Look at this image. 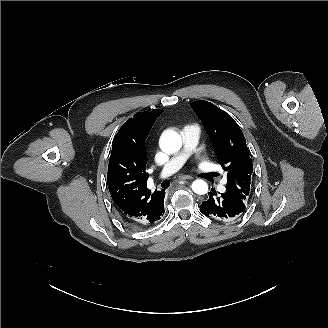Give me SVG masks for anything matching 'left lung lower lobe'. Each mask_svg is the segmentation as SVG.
Masks as SVG:
<instances>
[{"instance_id":"0a47b994","label":"left lung lower lobe","mask_w":328,"mask_h":328,"mask_svg":"<svg viewBox=\"0 0 328 328\" xmlns=\"http://www.w3.org/2000/svg\"><path fill=\"white\" fill-rule=\"evenodd\" d=\"M209 199L202 202L200 211L205 215L217 220H231L245 209L243 201L222 193L220 196H215L216 191L208 193Z\"/></svg>"}]
</instances>
